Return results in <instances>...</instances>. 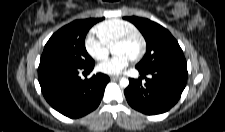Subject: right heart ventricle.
Listing matches in <instances>:
<instances>
[{
  "label": "right heart ventricle",
  "instance_id": "e07e8e85",
  "mask_svg": "<svg viewBox=\"0 0 225 132\" xmlns=\"http://www.w3.org/2000/svg\"><path fill=\"white\" fill-rule=\"evenodd\" d=\"M137 31L136 26L126 20L111 19L104 21L95 27L99 39L107 46L112 47L121 36Z\"/></svg>",
  "mask_w": 225,
  "mask_h": 132
}]
</instances>
